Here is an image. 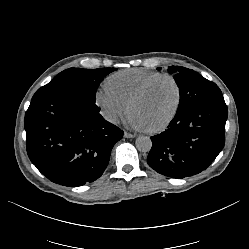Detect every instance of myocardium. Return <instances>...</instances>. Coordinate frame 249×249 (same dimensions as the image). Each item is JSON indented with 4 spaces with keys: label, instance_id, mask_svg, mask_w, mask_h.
<instances>
[{
    "label": "myocardium",
    "instance_id": "f54148a6",
    "mask_svg": "<svg viewBox=\"0 0 249 249\" xmlns=\"http://www.w3.org/2000/svg\"><path fill=\"white\" fill-rule=\"evenodd\" d=\"M162 79H169L175 85L176 90H177V104H176V107H175L174 111L172 112V114L163 123H161L157 127H154L151 129H146V132L149 134H157V133H161V132L165 131L177 118V116L180 112L182 100H183V92H182V88H181L179 81L177 80V78L175 76H173L171 74H167V73L160 74V75L155 76L152 79L148 80L146 83H144L139 88V90L128 101V108L130 109L131 106L137 100H139L141 97H143L156 82H158L159 80H162Z\"/></svg>",
    "mask_w": 249,
    "mask_h": 249
}]
</instances>
